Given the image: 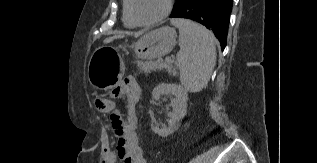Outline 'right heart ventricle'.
I'll use <instances>...</instances> for the list:
<instances>
[{
  "mask_svg": "<svg viewBox=\"0 0 317 163\" xmlns=\"http://www.w3.org/2000/svg\"><path fill=\"white\" fill-rule=\"evenodd\" d=\"M123 23L128 28H133L135 24L131 21L128 11H127V0H123V16H122Z\"/></svg>",
  "mask_w": 317,
  "mask_h": 163,
  "instance_id": "right-heart-ventricle-1",
  "label": "right heart ventricle"
}]
</instances>
